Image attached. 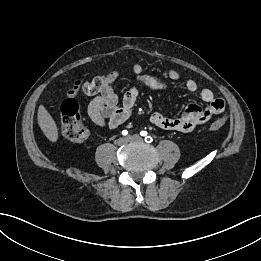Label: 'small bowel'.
Masks as SVG:
<instances>
[{"instance_id":"small-bowel-1","label":"small bowel","mask_w":261,"mask_h":261,"mask_svg":"<svg viewBox=\"0 0 261 261\" xmlns=\"http://www.w3.org/2000/svg\"><path fill=\"white\" fill-rule=\"evenodd\" d=\"M131 70L136 75V84L126 91L121 103H119L118 96L113 88L120 71H111L102 76L103 85L99 94L87 106V114L95 125L116 128L124 123L137 101L140 87L144 86L151 89H164L167 87V83L162 79L143 74V67L140 63L133 64ZM166 75L172 81H182L189 92H199L200 98L207 105L206 107H201L197 104H190L182 116L175 119L168 118L161 111L157 110L150 117V121L155 126L169 131L191 132L209 121L213 116L224 111V100L215 98L213 92L208 88L199 89L194 79L190 77L182 79L180 73L172 68L166 69ZM84 93L87 95L95 94Z\"/></svg>"}]
</instances>
